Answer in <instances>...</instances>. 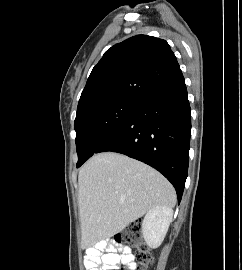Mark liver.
<instances>
[{
	"mask_svg": "<svg viewBox=\"0 0 242 270\" xmlns=\"http://www.w3.org/2000/svg\"><path fill=\"white\" fill-rule=\"evenodd\" d=\"M82 246L123 231L156 206L176 204L173 186L155 169L118 153H100L79 170Z\"/></svg>",
	"mask_w": 242,
	"mask_h": 270,
	"instance_id": "obj_1",
	"label": "liver"
}]
</instances>
